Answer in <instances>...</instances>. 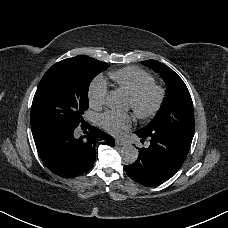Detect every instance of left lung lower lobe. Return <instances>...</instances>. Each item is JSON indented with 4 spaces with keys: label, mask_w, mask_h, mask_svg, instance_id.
Here are the masks:
<instances>
[{
    "label": "left lung lower lobe",
    "mask_w": 228,
    "mask_h": 228,
    "mask_svg": "<svg viewBox=\"0 0 228 228\" xmlns=\"http://www.w3.org/2000/svg\"><path fill=\"white\" fill-rule=\"evenodd\" d=\"M135 134L149 142V147L138 148V159L131 165L124 166L128 176L145 186H157L170 179L182 166L189 152L191 137L165 132Z\"/></svg>",
    "instance_id": "0a47b994"
}]
</instances>
